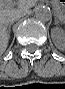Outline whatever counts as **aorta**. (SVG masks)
Masks as SVG:
<instances>
[{
	"instance_id": "aorta-1",
	"label": "aorta",
	"mask_w": 65,
	"mask_h": 89,
	"mask_svg": "<svg viewBox=\"0 0 65 89\" xmlns=\"http://www.w3.org/2000/svg\"><path fill=\"white\" fill-rule=\"evenodd\" d=\"M34 15L40 22L46 23L52 17L51 9L46 5H38L34 9Z\"/></svg>"
}]
</instances>
